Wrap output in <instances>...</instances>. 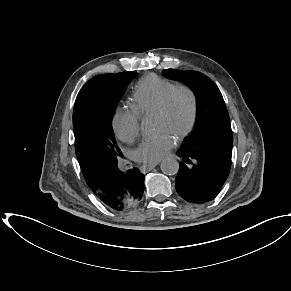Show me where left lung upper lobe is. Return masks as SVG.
I'll use <instances>...</instances> for the list:
<instances>
[{"label":"left lung upper lobe","instance_id":"obj_1","mask_svg":"<svg viewBox=\"0 0 291 291\" xmlns=\"http://www.w3.org/2000/svg\"><path fill=\"white\" fill-rule=\"evenodd\" d=\"M163 73L167 78L189 86L198 101L195 130L180 150L231 165L233 135L224 100L216 84L197 71L166 69Z\"/></svg>","mask_w":291,"mask_h":291}]
</instances>
